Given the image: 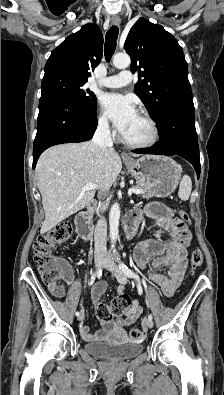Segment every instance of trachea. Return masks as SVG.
I'll return each instance as SVG.
<instances>
[{"mask_svg":"<svg viewBox=\"0 0 224 395\" xmlns=\"http://www.w3.org/2000/svg\"><path fill=\"white\" fill-rule=\"evenodd\" d=\"M118 33H119V29L115 25H113L106 33L105 58L107 61L111 59L113 53L115 52Z\"/></svg>","mask_w":224,"mask_h":395,"instance_id":"1","label":"trachea"}]
</instances>
